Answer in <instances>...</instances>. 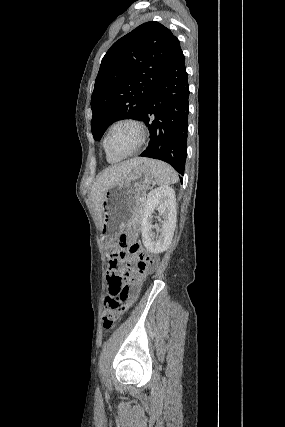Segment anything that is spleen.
I'll return each instance as SVG.
<instances>
[{"mask_svg": "<svg viewBox=\"0 0 285 427\" xmlns=\"http://www.w3.org/2000/svg\"><path fill=\"white\" fill-rule=\"evenodd\" d=\"M144 163L153 173L158 185L168 186L178 181V175L170 165L153 159H145Z\"/></svg>", "mask_w": 285, "mask_h": 427, "instance_id": "spleen-1", "label": "spleen"}]
</instances>
